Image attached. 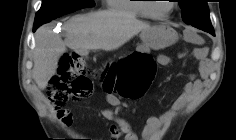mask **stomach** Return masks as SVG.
<instances>
[{"mask_svg": "<svg viewBox=\"0 0 236 140\" xmlns=\"http://www.w3.org/2000/svg\"><path fill=\"white\" fill-rule=\"evenodd\" d=\"M178 40L177 32L165 23L151 27L144 33V43L147 48L163 49L175 44Z\"/></svg>", "mask_w": 236, "mask_h": 140, "instance_id": "stomach-1", "label": "stomach"}]
</instances>
